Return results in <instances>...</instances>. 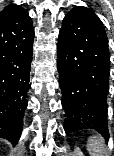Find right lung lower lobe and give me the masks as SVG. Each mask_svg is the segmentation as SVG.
Returning <instances> with one entry per match:
<instances>
[{
  "instance_id": "1",
  "label": "right lung lower lobe",
  "mask_w": 114,
  "mask_h": 156,
  "mask_svg": "<svg viewBox=\"0 0 114 156\" xmlns=\"http://www.w3.org/2000/svg\"><path fill=\"white\" fill-rule=\"evenodd\" d=\"M33 41L32 21L24 9L0 18V136L11 142L22 132Z\"/></svg>"
}]
</instances>
